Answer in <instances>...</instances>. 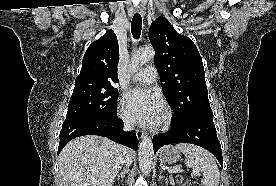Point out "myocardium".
I'll return each instance as SVG.
<instances>
[{
    "label": "myocardium",
    "instance_id": "obj_1",
    "mask_svg": "<svg viewBox=\"0 0 276 186\" xmlns=\"http://www.w3.org/2000/svg\"><path fill=\"white\" fill-rule=\"evenodd\" d=\"M172 118H173V115H172L171 110L168 107H163L162 118L160 121L153 124L152 129L154 131L167 130L172 123Z\"/></svg>",
    "mask_w": 276,
    "mask_h": 186
}]
</instances>
